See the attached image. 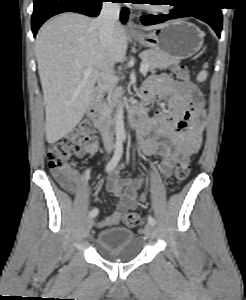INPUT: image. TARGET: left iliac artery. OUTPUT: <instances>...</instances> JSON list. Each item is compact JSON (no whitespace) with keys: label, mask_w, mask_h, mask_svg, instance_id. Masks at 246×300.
Wrapping results in <instances>:
<instances>
[{"label":"left iliac artery","mask_w":246,"mask_h":300,"mask_svg":"<svg viewBox=\"0 0 246 300\" xmlns=\"http://www.w3.org/2000/svg\"><path fill=\"white\" fill-rule=\"evenodd\" d=\"M148 222L152 225H155L156 224V221L155 219L152 217V216H148Z\"/></svg>","instance_id":"obj_1"}]
</instances>
